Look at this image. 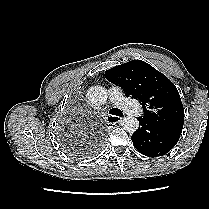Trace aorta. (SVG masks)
<instances>
[{
	"label": "aorta",
	"instance_id": "aorta-1",
	"mask_svg": "<svg viewBox=\"0 0 209 209\" xmlns=\"http://www.w3.org/2000/svg\"><path fill=\"white\" fill-rule=\"evenodd\" d=\"M87 98L94 105H103L108 99L107 90L102 86H92L87 90ZM121 125L125 131L135 132L139 121L135 117H124Z\"/></svg>",
	"mask_w": 209,
	"mask_h": 209
}]
</instances>
